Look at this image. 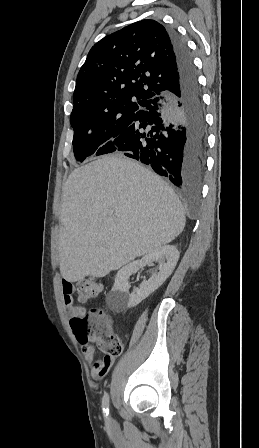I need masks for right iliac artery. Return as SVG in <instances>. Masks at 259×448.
I'll return each instance as SVG.
<instances>
[{"instance_id": "obj_1", "label": "right iliac artery", "mask_w": 259, "mask_h": 448, "mask_svg": "<svg viewBox=\"0 0 259 448\" xmlns=\"http://www.w3.org/2000/svg\"><path fill=\"white\" fill-rule=\"evenodd\" d=\"M102 410H103V415H104L105 421L109 422L110 421V418H109V396L107 393L103 396V399H102Z\"/></svg>"}]
</instances>
